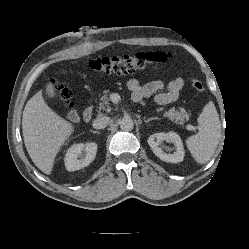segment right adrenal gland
Masks as SVG:
<instances>
[{
	"instance_id": "1",
	"label": "right adrenal gland",
	"mask_w": 249,
	"mask_h": 249,
	"mask_svg": "<svg viewBox=\"0 0 249 249\" xmlns=\"http://www.w3.org/2000/svg\"><path fill=\"white\" fill-rule=\"evenodd\" d=\"M90 132H92V133H94V134H100V132L94 131V130H91Z\"/></svg>"
}]
</instances>
